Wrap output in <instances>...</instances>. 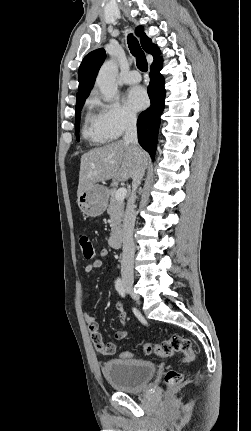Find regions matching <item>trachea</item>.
Segmentation results:
<instances>
[{
	"instance_id": "3493384b",
	"label": "trachea",
	"mask_w": 251,
	"mask_h": 431,
	"mask_svg": "<svg viewBox=\"0 0 251 431\" xmlns=\"http://www.w3.org/2000/svg\"><path fill=\"white\" fill-rule=\"evenodd\" d=\"M128 46L132 55L136 57L137 68L142 72H146L148 70L146 57L139 42L131 34L128 35Z\"/></svg>"
}]
</instances>
